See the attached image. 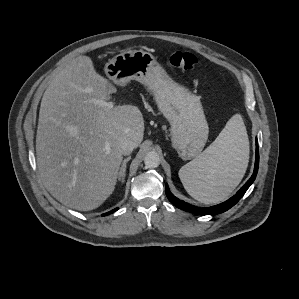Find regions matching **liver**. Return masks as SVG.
Listing matches in <instances>:
<instances>
[{"label":"liver","instance_id":"6515ba94","mask_svg":"<svg viewBox=\"0 0 299 299\" xmlns=\"http://www.w3.org/2000/svg\"><path fill=\"white\" fill-rule=\"evenodd\" d=\"M114 92L88 56L71 60L50 82L42 97L36 135L37 167L44 187L63 205L90 211L114 191L122 154L119 144L140 145L144 118L137 106L112 109Z\"/></svg>","mask_w":299,"mask_h":299}]
</instances>
